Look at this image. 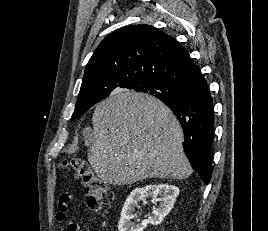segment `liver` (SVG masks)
<instances>
[{
    "mask_svg": "<svg viewBox=\"0 0 268 231\" xmlns=\"http://www.w3.org/2000/svg\"><path fill=\"white\" fill-rule=\"evenodd\" d=\"M92 123L93 131L85 132L87 158L101 182L129 185L192 174L181 126L160 100L118 90L96 106Z\"/></svg>",
    "mask_w": 268,
    "mask_h": 231,
    "instance_id": "6515ba94",
    "label": "liver"
}]
</instances>
